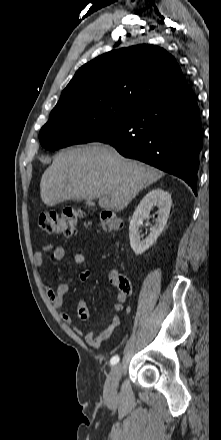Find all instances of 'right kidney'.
<instances>
[{
	"label": "right kidney",
	"instance_id": "1",
	"mask_svg": "<svg viewBox=\"0 0 221 440\" xmlns=\"http://www.w3.org/2000/svg\"><path fill=\"white\" fill-rule=\"evenodd\" d=\"M171 204L170 194L161 188L152 189L140 201L129 225L130 245L136 255L149 249L162 233L169 217ZM155 206L158 208L156 223L151 228L149 236L141 241L140 227L143 220L149 218L150 211Z\"/></svg>",
	"mask_w": 221,
	"mask_h": 440
}]
</instances>
